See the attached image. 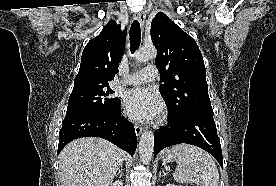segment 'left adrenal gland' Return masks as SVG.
Here are the masks:
<instances>
[{
  "label": "left adrenal gland",
  "instance_id": "1",
  "mask_svg": "<svg viewBox=\"0 0 276 186\" xmlns=\"http://www.w3.org/2000/svg\"><path fill=\"white\" fill-rule=\"evenodd\" d=\"M161 172H159V177H161ZM163 176H165V172L163 171Z\"/></svg>",
  "mask_w": 276,
  "mask_h": 186
}]
</instances>
